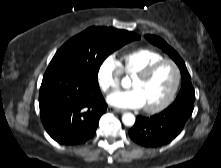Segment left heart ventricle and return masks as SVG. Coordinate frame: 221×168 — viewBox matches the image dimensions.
I'll use <instances>...</instances> for the list:
<instances>
[{"label": "left heart ventricle", "mask_w": 221, "mask_h": 168, "mask_svg": "<svg viewBox=\"0 0 221 168\" xmlns=\"http://www.w3.org/2000/svg\"><path fill=\"white\" fill-rule=\"evenodd\" d=\"M175 81V70L171 64L158 67L146 80L133 79L131 87L139 92L144 107L162 103L169 95Z\"/></svg>", "instance_id": "b2bd125f"}]
</instances>
